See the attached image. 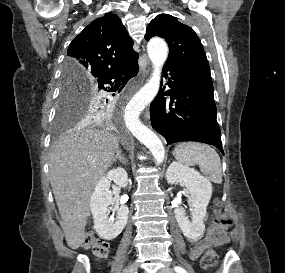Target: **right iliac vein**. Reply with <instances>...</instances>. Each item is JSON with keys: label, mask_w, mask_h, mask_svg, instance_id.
I'll return each mask as SVG.
<instances>
[{"label": "right iliac vein", "mask_w": 285, "mask_h": 273, "mask_svg": "<svg viewBox=\"0 0 285 273\" xmlns=\"http://www.w3.org/2000/svg\"><path fill=\"white\" fill-rule=\"evenodd\" d=\"M138 265L136 263L130 264L123 273H136Z\"/></svg>", "instance_id": "right-iliac-vein-1"}]
</instances>
